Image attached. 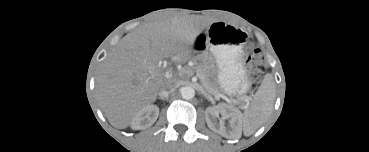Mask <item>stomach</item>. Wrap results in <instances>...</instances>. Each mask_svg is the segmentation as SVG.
Masks as SVG:
<instances>
[{
	"label": "stomach",
	"instance_id": "stomach-1",
	"mask_svg": "<svg viewBox=\"0 0 369 152\" xmlns=\"http://www.w3.org/2000/svg\"><path fill=\"white\" fill-rule=\"evenodd\" d=\"M218 67V83L228 95H240L248 90L246 71L242 65L247 34L222 21L213 22L204 34Z\"/></svg>",
	"mask_w": 369,
	"mask_h": 152
}]
</instances>
